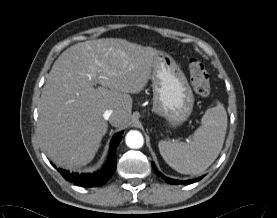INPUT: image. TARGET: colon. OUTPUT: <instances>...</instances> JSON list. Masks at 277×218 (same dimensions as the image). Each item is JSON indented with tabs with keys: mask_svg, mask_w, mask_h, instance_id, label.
Segmentation results:
<instances>
[{
	"mask_svg": "<svg viewBox=\"0 0 277 218\" xmlns=\"http://www.w3.org/2000/svg\"><path fill=\"white\" fill-rule=\"evenodd\" d=\"M190 82L194 92L201 97H206L210 94L211 84L208 71L199 59L193 58L189 65Z\"/></svg>",
	"mask_w": 277,
	"mask_h": 218,
	"instance_id": "5ec220e1",
	"label": "colon"
}]
</instances>
